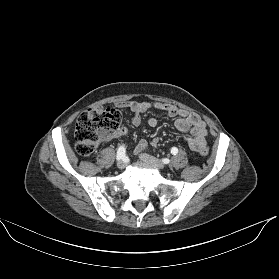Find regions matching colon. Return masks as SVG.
I'll return each instance as SVG.
<instances>
[{
    "instance_id": "colon-1",
    "label": "colon",
    "mask_w": 279,
    "mask_h": 279,
    "mask_svg": "<svg viewBox=\"0 0 279 279\" xmlns=\"http://www.w3.org/2000/svg\"><path fill=\"white\" fill-rule=\"evenodd\" d=\"M120 123V113L115 109H89L82 112L76 121V151L83 156L92 154L101 141L117 132ZM198 152L205 156L209 150L203 147Z\"/></svg>"
}]
</instances>
